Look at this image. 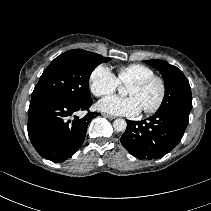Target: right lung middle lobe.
Returning a JSON list of instances; mask_svg holds the SVG:
<instances>
[{
	"mask_svg": "<svg viewBox=\"0 0 211 211\" xmlns=\"http://www.w3.org/2000/svg\"><path fill=\"white\" fill-rule=\"evenodd\" d=\"M111 58L81 50H69L56 57L44 70L34 88L32 98H54L85 104L92 101L88 81L91 72Z\"/></svg>",
	"mask_w": 211,
	"mask_h": 211,
	"instance_id": "dd1d6c3e",
	"label": "right lung middle lobe"
}]
</instances>
